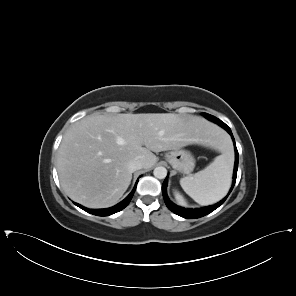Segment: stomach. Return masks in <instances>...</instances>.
Returning <instances> with one entry per match:
<instances>
[{
	"label": "stomach",
	"instance_id": "0dacf381",
	"mask_svg": "<svg viewBox=\"0 0 296 296\" xmlns=\"http://www.w3.org/2000/svg\"><path fill=\"white\" fill-rule=\"evenodd\" d=\"M166 161L178 172L189 174L195 167V159L190 151L176 149L165 154Z\"/></svg>",
	"mask_w": 296,
	"mask_h": 296
}]
</instances>
